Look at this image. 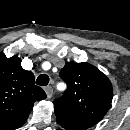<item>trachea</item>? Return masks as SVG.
<instances>
[{
  "mask_svg": "<svg viewBox=\"0 0 130 130\" xmlns=\"http://www.w3.org/2000/svg\"><path fill=\"white\" fill-rule=\"evenodd\" d=\"M49 83V77L46 74H41L36 79V84L40 86H46Z\"/></svg>",
  "mask_w": 130,
  "mask_h": 130,
  "instance_id": "trachea-1",
  "label": "trachea"
}]
</instances>
